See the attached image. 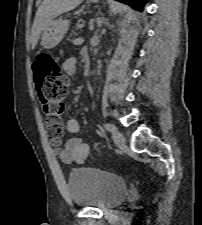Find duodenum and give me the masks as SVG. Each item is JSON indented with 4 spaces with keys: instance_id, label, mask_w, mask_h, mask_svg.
I'll list each match as a JSON object with an SVG mask.
<instances>
[{
    "instance_id": "duodenum-1",
    "label": "duodenum",
    "mask_w": 202,
    "mask_h": 225,
    "mask_svg": "<svg viewBox=\"0 0 202 225\" xmlns=\"http://www.w3.org/2000/svg\"><path fill=\"white\" fill-rule=\"evenodd\" d=\"M82 61L84 66V72L87 73L90 70L91 62H90V56L88 52H82Z\"/></svg>"
}]
</instances>
